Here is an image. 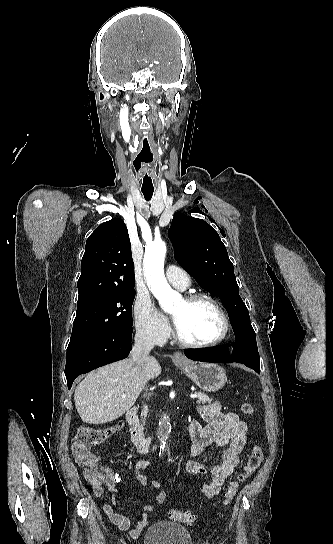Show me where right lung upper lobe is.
Returning <instances> with one entry per match:
<instances>
[{
	"mask_svg": "<svg viewBox=\"0 0 333 544\" xmlns=\"http://www.w3.org/2000/svg\"><path fill=\"white\" fill-rule=\"evenodd\" d=\"M134 264L127 227L113 218L89 236L81 261L78 301L116 290H134Z\"/></svg>",
	"mask_w": 333,
	"mask_h": 544,
	"instance_id": "cb5924a9",
	"label": "right lung upper lobe"
}]
</instances>
